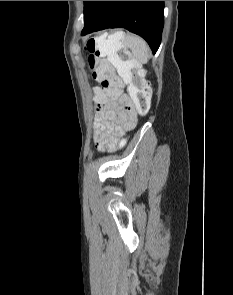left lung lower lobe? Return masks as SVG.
<instances>
[{
	"label": "left lung lower lobe",
	"instance_id": "0a47b994",
	"mask_svg": "<svg viewBox=\"0 0 233 295\" xmlns=\"http://www.w3.org/2000/svg\"><path fill=\"white\" fill-rule=\"evenodd\" d=\"M163 9L164 1H96L81 35L106 28H125L143 37L155 54L161 42Z\"/></svg>",
	"mask_w": 233,
	"mask_h": 295
}]
</instances>
